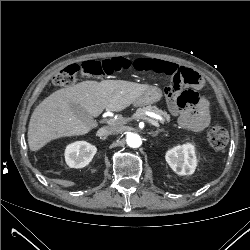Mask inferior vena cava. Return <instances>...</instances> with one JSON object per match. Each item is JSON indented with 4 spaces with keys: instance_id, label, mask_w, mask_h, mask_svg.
<instances>
[{
    "instance_id": "602c4592",
    "label": "inferior vena cava",
    "mask_w": 250,
    "mask_h": 250,
    "mask_svg": "<svg viewBox=\"0 0 250 250\" xmlns=\"http://www.w3.org/2000/svg\"><path fill=\"white\" fill-rule=\"evenodd\" d=\"M120 132V129L115 126H106L101 128L100 133L102 135H114Z\"/></svg>"
}]
</instances>
